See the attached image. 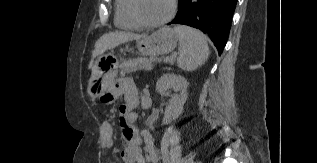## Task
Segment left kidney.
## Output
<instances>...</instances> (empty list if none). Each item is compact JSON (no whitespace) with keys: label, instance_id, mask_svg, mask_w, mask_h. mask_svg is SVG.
Wrapping results in <instances>:
<instances>
[{"label":"left kidney","instance_id":"left-kidney-1","mask_svg":"<svg viewBox=\"0 0 317 163\" xmlns=\"http://www.w3.org/2000/svg\"><path fill=\"white\" fill-rule=\"evenodd\" d=\"M187 87V80L174 73L163 74L157 81L156 90L160 95L167 96L171 89L175 92L167 103L162 124L168 125L182 114L183 106L187 100Z\"/></svg>","mask_w":317,"mask_h":163}]
</instances>
